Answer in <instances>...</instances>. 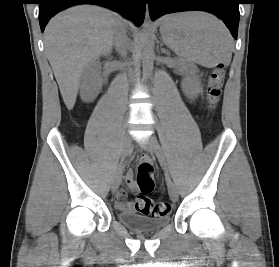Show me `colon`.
I'll return each instance as SVG.
<instances>
[{
	"instance_id": "1",
	"label": "colon",
	"mask_w": 279,
	"mask_h": 267,
	"mask_svg": "<svg viewBox=\"0 0 279 267\" xmlns=\"http://www.w3.org/2000/svg\"><path fill=\"white\" fill-rule=\"evenodd\" d=\"M225 79V65H217L210 73L207 83L206 100L210 110H213L221 96ZM137 185L141 192L135 199L134 208L141 214L153 217L166 215L170 211L168 202H154L147 194L154 190L153 166L144 160L140 163L137 172Z\"/></svg>"
}]
</instances>
